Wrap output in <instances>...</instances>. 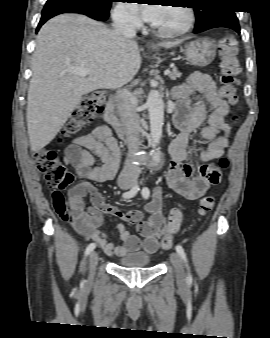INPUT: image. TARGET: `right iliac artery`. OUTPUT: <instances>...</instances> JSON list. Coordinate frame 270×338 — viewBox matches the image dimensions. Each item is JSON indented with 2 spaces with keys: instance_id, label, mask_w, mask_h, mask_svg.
<instances>
[{
  "instance_id": "82829eb1",
  "label": "right iliac artery",
  "mask_w": 270,
  "mask_h": 338,
  "mask_svg": "<svg viewBox=\"0 0 270 338\" xmlns=\"http://www.w3.org/2000/svg\"><path fill=\"white\" fill-rule=\"evenodd\" d=\"M138 191H139V186L135 185L129 191L123 193L122 196L125 199H129V198L134 197ZM95 247H96L95 243H90L86 248V255H89L95 249Z\"/></svg>"
}]
</instances>
